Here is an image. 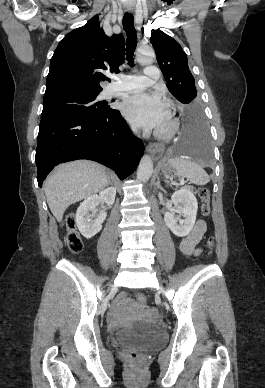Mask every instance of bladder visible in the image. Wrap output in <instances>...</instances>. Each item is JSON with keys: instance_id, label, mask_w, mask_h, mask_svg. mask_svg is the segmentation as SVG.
Here are the masks:
<instances>
[{"instance_id": "bladder-1", "label": "bladder", "mask_w": 265, "mask_h": 388, "mask_svg": "<svg viewBox=\"0 0 265 388\" xmlns=\"http://www.w3.org/2000/svg\"><path fill=\"white\" fill-rule=\"evenodd\" d=\"M160 333L155 325L139 323L135 326L122 328L115 335L118 345H134L137 347L150 346L153 337Z\"/></svg>"}]
</instances>
